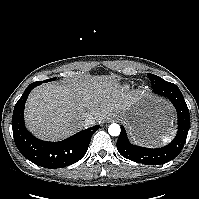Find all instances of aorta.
<instances>
[{
    "label": "aorta",
    "instance_id": "aorta-1",
    "mask_svg": "<svg viewBox=\"0 0 199 199\" xmlns=\"http://www.w3.org/2000/svg\"><path fill=\"white\" fill-rule=\"evenodd\" d=\"M120 126L116 123L109 125L108 132L111 136H118L120 134Z\"/></svg>",
    "mask_w": 199,
    "mask_h": 199
}]
</instances>
